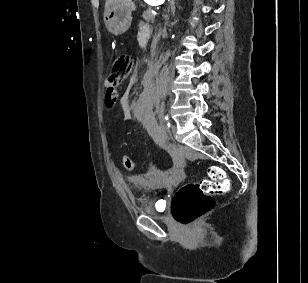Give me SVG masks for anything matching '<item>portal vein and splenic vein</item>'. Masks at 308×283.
Segmentation results:
<instances>
[{
	"mask_svg": "<svg viewBox=\"0 0 308 283\" xmlns=\"http://www.w3.org/2000/svg\"><path fill=\"white\" fill-rule=\"evenodd\" d=\"M151 13H152V14H154V15L156 14V12H155V11H152Z\"/></svg>",
	"mask_w": 308,
	"mask_h": 283,
	"instance_id": "portal-vein-and-splenic-vein-1",
	"label": "portal vein and splenic vein"
}]
</instances>
